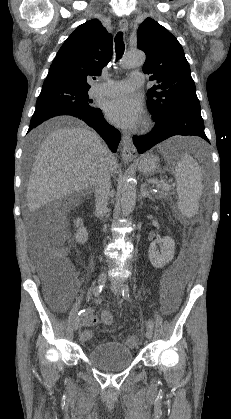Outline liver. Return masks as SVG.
I'll return each mask as SVG.
<instances>
[{
  "instance_id": "1",
  "label": "liver",
  "mask_w": 231,
  "mask_h": 419,
  "mask_svg": "<svg viewBox=\"0 0 231 419\" xmlns=\"http://www.w3.org/2000/svg\"><path fill=\"white\" fill-rule=\"evenodd\" d=\"M65 119L57 118L45 124L49 133L39 147L27 186L30 211L92 187L99 165L108 155V147L95 132L81 126L59 127ZM117 168L113 156L110 171L116 173Z\"/></svg>"
}]
</instances>
